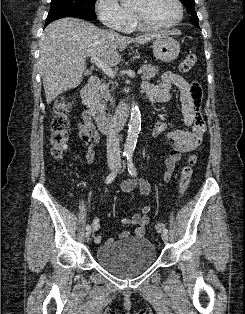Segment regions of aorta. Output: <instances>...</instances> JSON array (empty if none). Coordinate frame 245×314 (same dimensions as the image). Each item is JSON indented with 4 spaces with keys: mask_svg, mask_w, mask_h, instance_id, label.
<instances>
[{
    "mask_svg": "<svg viewBox=\"0 0 245 314\" xmlns=\"http://www.w3.org/2000/svg\"><path fill=\"white\" fill-rule=\"evenodd\" d=\"M124 1V0H122ZM127 139L124 144V154L130 155L134 152L137 138L141 130V113L138 105L133 102L131 107V118L129 121Z\"/></svg>",
    "mask_w": 245,
    "mask_h": 314,
    "instance_id": "aorta-1",
    "label": "aorta"
}]
</instances>
